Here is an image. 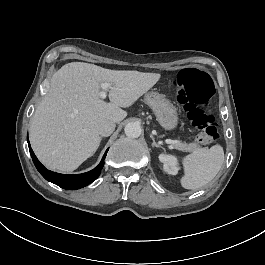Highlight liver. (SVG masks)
I'll return each mask as SVG.
<instances>
[{"label":"liver","instance_id":"liver-1","mask_svg":"<svg viewBox=\"0 0 265 265\" xmlns=\"http://www.w3.org/2000/svg\"><path fill=\"white\" fill-rule=\"evenodd\" d=\"M158 73L116 71L71 62L51 79V86L31 119L29 137L37 158L48 169L72 172L98 149V121L120 122L131 106L160 79ZM110 83L107 103L100 85Z\"/></svg>","mask_w":265,"mask_h":265}]
</instances>
